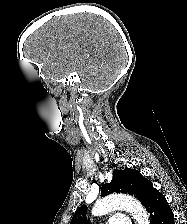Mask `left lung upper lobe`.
<instances>
[{"label":"left lung upper lobe","instance_id":"1","mask_svg":"<svg viewBox=\"0 0 187 224\" xmlns=\"http://www.w3.org/2000/svg\"><path fill=\"white\" fill-rule=\"evenodd\" d=\"M155 190L151 181L144 178L140 172L126 168L113 172L112 181L103 185L101 195L106 196L114 192L129 194L137 198L146 207ZM86 209V205L81 206L75 212L70 224H89L86 221Z\"/></svg>","mask_w":187,"mask_h":224}]
</instances>
